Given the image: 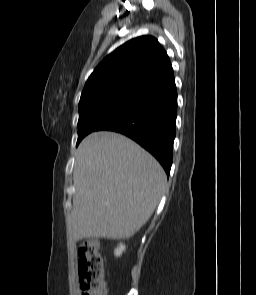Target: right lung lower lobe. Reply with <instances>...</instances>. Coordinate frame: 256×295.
Segmentation results:
<instances>
[{
  "instance_id": "98d812e1",
  "label": "right lung lower lobe",
  "mask_w": 256,
  "mask_h": 295,
  "mask_svg": "<svg viewBox=\"0 0 256 295\" xmlns=\"http://www.w3.org/2000/svg\"><path fill=\"white\" fill-rule=\"evenodd\" d=\"M177 117L172 67L139 91L132 101L98 130L122 133L148 150L170 173Z\"/></svg>"
}]
</instances>
